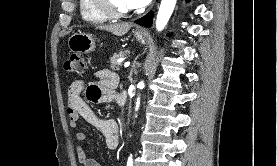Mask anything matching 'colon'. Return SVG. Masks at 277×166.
Here are the masks:
<instances>
[{
  "label": "colon",
  "mask_w": 277,
  "mask_h": 166,
  "mask_svg": "<svg viewBox=\"0 0 277 166\" xmlns=\"http://www.w3.org/2000/svg\"><path fill=\"white\" fill-rule=\"evenodd\" d=\"M64 69L69 73L81 74L85 70L84 58L81 54L73 53L64 63Z\"/></svg>",
  "instance_id": "obj_1"
}]
</instances>
